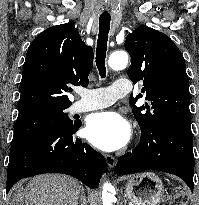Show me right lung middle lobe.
Segmentation results:
<instances>
[{
  "mask_svg": "<svg viewBox=\"0 0 199 205\" xmlns=\"http://www.w3.org/2000/svg\"><path fill=\"white\" fill-rule=\"evenodd\" d=\"M66 107L42 108L18 114L11 146L49 131H59L75 124L65 112Z\"/></svg>",
  "mask_w": 199,
  "mask_h": 205,
  "instance_id": "right-lung-middle-lobe-1",
  "label": "right lung middle lobe"
}]
</instances>
